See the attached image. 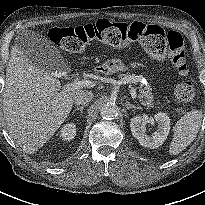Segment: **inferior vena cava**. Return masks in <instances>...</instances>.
<instances>
[{
  "label": "inferior vena cava",
  "instance_id": "1",
  "mask_svg": "<svg viewBox=\"0 0 205 205\" xmlns=\"http://www.w3.org/2000/svg\"><path fill=\"white\" fill-rule=\"evenodd\" d=\"M92 91H79L74 99L75 104L77 105H84L89 103L93 99Z\"/></svg>",
  "mask_w": 205,
  "mask_h": 205
}]
</instances>
